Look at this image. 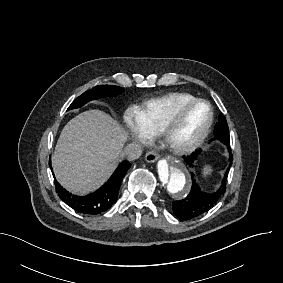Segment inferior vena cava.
<instances>
[{
	"instance_id": "602c4592",
	"label": "inferior vena cava",
	"mask_w": 283,
	"mask_h": 283,
	"mask_svg": "<svg viewBox=\"0 0 283 283\" xmlns=\"http://www.w3.org/2000/svg\"><path fill=\"white\" fill-rule=\"evenodd\" d=\"M142 155V146L139 143L133 142L124 147L120 156L129 161L138 159Z\"/></svg>"
}]
</instances>
